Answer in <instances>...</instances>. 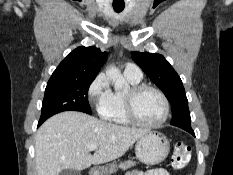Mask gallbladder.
I'll return each instance as SVG.
<instances>
[{"label": "gallbladder", "instance_id": "obj_1", "mask_svg": "<svg viewBox=\"0 0 233 175\" xmlns=\"http://www.w3.org/2000/svg\"><path fill=\"white\" fill-rule=\"evenodd\" d=\"M59 175H81L80 171L73 170V169H65L60 172Z\"/></svg>", "mask_w": 233, "mask_h": 175}]
</instances>
